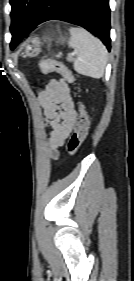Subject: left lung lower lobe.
Listing matches in <instances>:
<instances>
[{"label":"left lung lower lobe","instance_id":"left-lung-lower-lobe-1","mask_svg":"<svg viewBox=\"0 0 134 281\" xmlns=\"http://www.w3.org/2000/svg\"><path fill=\"white\" fill-rule=\"evenodd\" d=\"M109 0H44L28 28L11 31L16 46L37 25L48 20H62L86 28L111 48Z\"/></svg>","mask_w":134,"mask_h":281}]
</instances>
